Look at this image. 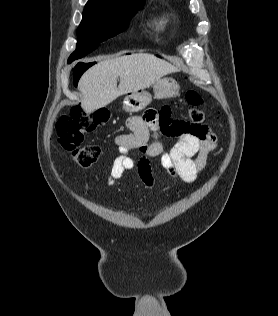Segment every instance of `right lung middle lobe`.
Segmentation results:
<instances>
[{"instance_id": "dd1d6c3e", "label": "right lung middle lobe", "mask_w": 278, "mask_h": 316, "mask_svg": "<svg viewBox=\"0 0 278 316\" xmlns=\"http://www.w3.org/2000/svg\"><path fill=\"white\" fill-rule=\"evenodd\" d=\"M143 5L144 2L117 6L85 5L83 19L77 30L76 50L70 55L68 63L84 57L101 42L124 31ZM84 69L75 74H81Z\"/></svg>"}]
</instances>
